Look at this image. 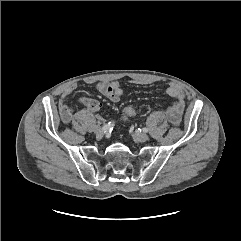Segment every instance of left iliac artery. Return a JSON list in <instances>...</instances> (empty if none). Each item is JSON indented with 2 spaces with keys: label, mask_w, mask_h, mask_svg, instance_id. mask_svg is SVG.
I'll return each mask as SVG.
<instances>
[{
  "label": "left iliac artery",
  "mask_w": 241,
  "mask_h": 241,
  "mask_svg": "<svg viewBox=\"0 0 241 241\" xmlns=\"http://www.w3.org/2000/svg\"><path fill=\"white\" fill-rule=\"evenodd\" d=\"M143 132H148V128H143Z\"/></svg>",
  "instance_id": "left-iliac-artery-1"
}]
</instances>
